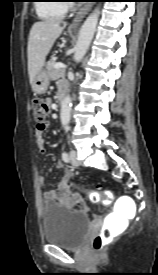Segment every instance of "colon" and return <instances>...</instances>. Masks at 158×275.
<instances>
[{"label": "colon", "mask_w": 158, "mask_h": 275, "mask_svg": "<svg viewBox=\"0 0 158 275\" xmlns=\"http://www.w3.org/2000/svg\"><path fill=\"white\" fill-rule=\"evenodd\" d=\"M32 107L34 112V117L37 122L36 129L44 131L48 127V114H49V104L47 100L41 98H34L32 100ZM68 186L71 188L70 182ZM93 200H102L105 204H110L113 201V194L111 191H104L102 193H93L91 195ZM113 234L110 230L104 229L98 233L92 242L93 248L95 250L102 249L111 239Z\"/></svg>", "instance_id": "obj_1"}]
</instances>
